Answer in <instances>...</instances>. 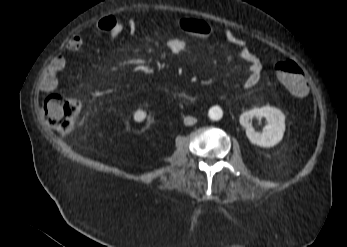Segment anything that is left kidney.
Returning <instances> with one entry per match:
<instances>
[{
  "mask_svg": "<svg viewBox=\"0 0 347 247\" xmlns=\"http://www.w3.org/2000/svg\"><path fill=\"white\" fill-rule=\"evenodd\" d=\"M263 117L268 124L262 133H258L252 128L251 121L253 118L261 119ZM240 124L246 128V135L253 144L270 148L278 144L283 138L285 116L275 107L264 106L244 112L240 116Z\"/></svg>",
  "mask_w": 347,
  "mask_h": 247,
  "instance_id": "5707ae66",
  "label": "left kidney"
}]
</instances>
